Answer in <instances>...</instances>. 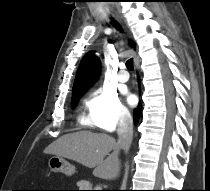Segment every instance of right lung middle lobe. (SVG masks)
I'll return each mask as SVG.
<instances>
[{
  "instance_id": "1",
  "label": "right lung middle lobe",
  "mask_w": 210,
  "mask_h": 191,
  "mask_svg": "<svg viewBox=\"0 0 210 191\" xmlns=\"http://www.w3.org/2000/svg\"><path fill=\"white\" fill-rule=\"evenodd\" d=\"M80 97H81V95L76 96L75 98L72 99V102H71V107H72V109H74V108L76 107L77 102H78V100L80 99Z\"/></svg>"
}]
</instances>
